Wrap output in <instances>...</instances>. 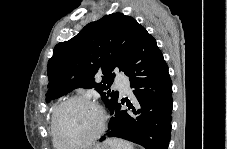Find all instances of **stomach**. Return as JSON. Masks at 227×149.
Here are the masks:
<instances>
[{
    "instance_id": "stomach-1",
    "label": "stomach",
    "mask_w": 227,
    "mask_h": 149,
    "mask_svg": "<svg viewBox=\"0 0 227 149\" xmlns=\"http://www.w3.org/2000/svg\"><path fill=\"white\" fill-rule=\"evenodd\" d=\"M95 149H109L107 145H101V146H98L97 148Z\"/></svg>"
}]
</instances>
